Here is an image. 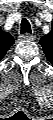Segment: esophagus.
Returning <instances> with one entry per match:
<instances>
[{"mask_svg": "<svg viewBox=\"0 0 53 120\" xmlns=\"http://www.w3.org/2000/svg\"><path fill=\"white\" fill-rule=\"evenodd\" d=\"M35 37H36L35 35L29 34V33H25V34L21 35V39H23V40H34Z\"/></svg>", "mask_w": 53, "mask_h": 120, "instance_id": "1", "label": "esophagus"}]
</instances>
